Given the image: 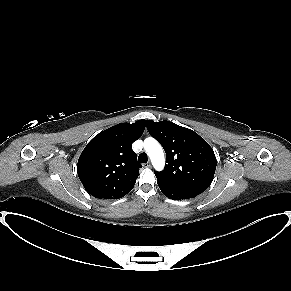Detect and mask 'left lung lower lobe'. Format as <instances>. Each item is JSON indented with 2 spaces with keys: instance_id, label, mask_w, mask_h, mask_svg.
<instances>
[{
  "instance_id": "left-lung-lower-lobe-1",
  "label": "left lung lower lobe",
  "mask_w": 291,
  "mask_h": 291,
  "mask_svg": "<svg viewBox=\"0 0 291 291\" xmlns=\"http://www.w3.org/2000/svg\"><path fill=\"white\" fill-rule=\"evenodd\" d=\"M157 182H158V186H159L160 190L162 191V193L170 199L183 200V199L193 198L196 196V195L185 193V192L176 190L172 187H169V186L161 183L159 180H157Z\"/></svg>"
}]
</instances>
